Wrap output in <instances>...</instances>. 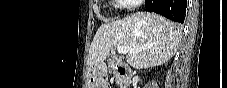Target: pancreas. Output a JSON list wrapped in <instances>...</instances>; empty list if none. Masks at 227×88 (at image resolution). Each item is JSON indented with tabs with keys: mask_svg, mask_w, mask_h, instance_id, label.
Returning <instances> with one entry per match:
<instances>
[{
	"mask_svg": "<svg viewBox=\"0 0 227 88\" xmlns=\"http://www.w3.org/2000/svg\"><path fill=\"white\" fill-rule=\"evenodd\" d=\"M116 80L118 84H121V79L116 75Z\"/></svg>",
	"mask_w": 227,
	"mask_h": 88,
	"instance_id": "cf45deb5",
	"label": "pancreas"
}]
</instances>
